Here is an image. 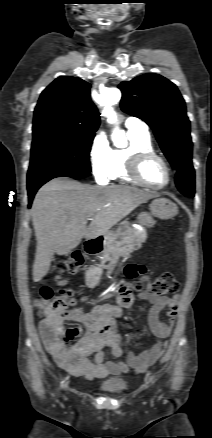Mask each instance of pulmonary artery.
Here are the masks:
<instances>
[{
  "label": "pulmonary artery",
  "mask_w": 212,
  "mask_h": 438,
  "mask_svg": "<svg viewBox=\"0 0 212 438\" xmlns=\"http://www.w3.org/2000/svg\"><path fill=\"white\" fill-rule=\"evenodd\" d=\"M125 126L130 131L148 133V126L136 117H129L125 121Z\"/></svg>",
  "instance_id": "pulmonary-artery-1"
}]
</instances>
